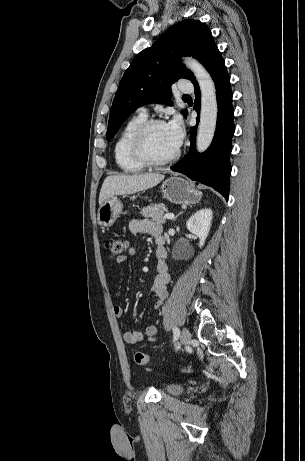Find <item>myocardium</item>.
Returning a JSON list of instances; mask_svg holds the SVG:
<instances>
[{
    "mask_svg": "<svg viewBox=\"0 0 305 461\" xmlns=\"http://www.w3.org/2000/svg\"><path fill=\"white\" fill-rule=\"evenodd\" d=\"M158 125H166L161 119L145 120L135 131L130 142V152L133 158L146 167H160L172 163L180 156V150L177 149L171 156L162 159H152L146 151V140L150 130Z\"/></svg>",
    "mask_w": 305,
    "mask_h": 461,
    "instance_id": "obj_1",
    "label": "myocardium"
}]
</instances>
